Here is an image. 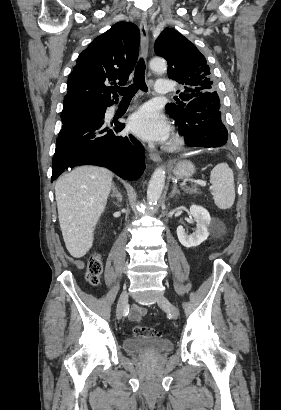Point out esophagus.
I'll list each match as a JSON object with an SVG mask.
<instances>
[{"label":"esophagus","instance_id":"1","mask_svg":"<svg viewBox=\"0 0 281 410\" xmlns=\"http://www.w3.org/2000/svg\"><path fill=\"white\" fill-rule=\"evenodd\" d=\"M140 33H141V51L142 56L146 59L149 51V35H148V26L145 15L141 17L140 21ZM150 159L154 162H161V157L157 152H149Z\"/></svg>","mask_w":281,"mask_h":410}]
</instances>
